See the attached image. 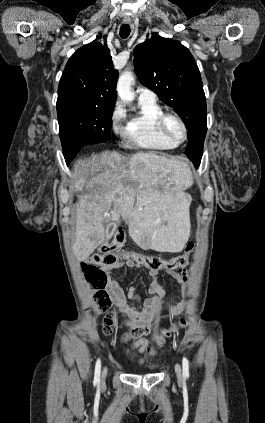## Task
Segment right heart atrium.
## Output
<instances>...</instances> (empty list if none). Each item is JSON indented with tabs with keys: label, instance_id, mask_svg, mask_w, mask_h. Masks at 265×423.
<instances>
[{
	"label": "right heart atrium",
	"instance_id": "obj_1",
	"mask_svg": "<svg viewBox=\"0 0 265 423\" xmlns=\"http://www.w3.org/2000/svg\"><path fill=\"white\" fill-rule=\"evenodd\" d=\"M125 116L124 107L120 103H116L110 115L111 128L115 133H119L122 130L121 122L125 119Z\"/></svg>",
	"mask_w": 265,
	"mask_h": 423
}]
</instances>
